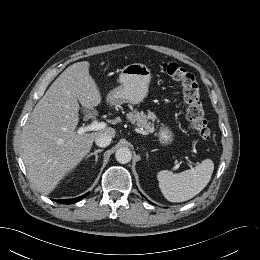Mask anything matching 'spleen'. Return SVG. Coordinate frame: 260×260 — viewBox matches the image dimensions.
Returning a JSON list of instances; mask_svg holds the SVG:
<instances>
[{
    "label": "spleen",
    "instance_id": "spleen-1",
    "mask_svg": "<svg viewBox=\"0 0 260 260\" xmlns=\"http://www.w3.org/2000/svg\"><path fill=\"white\" fill-rule=\"evenodd\" d=\"M214 170L213 161L203 160L193 169L180 173L158 172L157 179L164 197L170 202H183L195 197L209 183Z\"/></svg>",
    "mask_w": 260,
    "mask_h": 260
}]
</instances>
